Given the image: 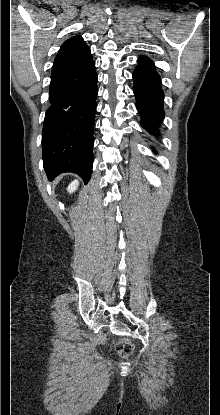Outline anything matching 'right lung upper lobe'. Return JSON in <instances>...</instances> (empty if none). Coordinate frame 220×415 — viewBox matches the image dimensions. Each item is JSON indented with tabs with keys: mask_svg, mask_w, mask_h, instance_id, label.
I'll list each match as a JSON object with an SVG mask.
<instances>
[{
	"mask_svg": "<svg viewBox=\"0 0 220 415\" xmlns=\"http://www.w3.org/2000/svg\"><path fill=\"white\" fill-rule=\"evenodd\" d=\"M91 59L90 48L86 45L83 38L74 36L62 44L55 58L51 77L73 70Z\"/></svg>",
	"mask_w": 220,
	"mask_h": 415,
	"instance_id": "right-lung-upper-lobe-1",
	"label": "right lung upper lobe"
}]
</instances>
